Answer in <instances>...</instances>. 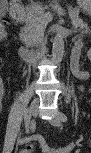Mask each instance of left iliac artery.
Segmentation results:
<instances>
[{"instance_id": "obj_1", "label": "left iliac artery", "mask_w": 91, "mask_h": 153, "mask_svg": "<svg viewBox=\"0 0 91 153\" xmlns=\"http://www.w3.org/2000/svg\"><path fill=\"white\" fill-rule=\"evenodd\" d=\"M60 118L63 122L67 121V116L64 113H60Z\"/></svg>"}]
</instances>
